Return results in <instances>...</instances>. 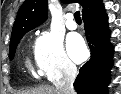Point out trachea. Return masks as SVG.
I'll list each match as a JSON object with an SVG mask.
<instances>
[{"label":"trachea","instance_id":"trachea-1","mask_svg":"<svg viewBox=\"0 0 121 94\" xmlns=\"http://www.w3.org/2000/svg\"><path fill=\"white\" fill-rule=\"evenodd\" d=\"M74 18H75L76 22H81V17H80V12L79 11H76L74 13Z\"/></svg>","mask_w":121,"mask_h":94}]
</instances>
